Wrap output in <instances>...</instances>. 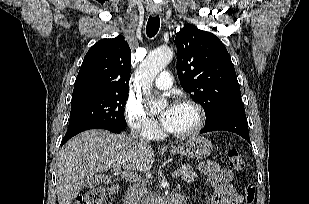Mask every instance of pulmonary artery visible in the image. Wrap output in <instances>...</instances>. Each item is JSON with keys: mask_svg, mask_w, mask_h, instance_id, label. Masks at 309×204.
I'll return each mask as SVG.
<instances>
[{"mask_svg": "<svg viewBox=\"0 0 309 204\" xmlns=\"http://www.w3.org/2000/svg\"><path fill=\"white\" fill-rule=\"evenodd\" d=\"M172 84V77L168 71L162 72L153 82V85L158 89H169Z\"/></svg>", "mask_w": 309, "mask_h": 204, "instance_id": "1", "label": "pulmonary artery"}]
</instances>
